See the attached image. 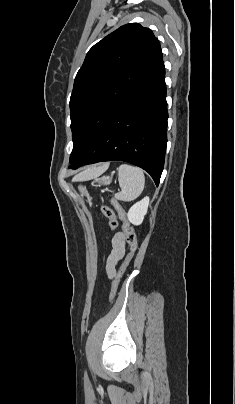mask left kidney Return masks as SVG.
<instances>
[{
  "label": "left kidney",
  "mask_w": 235,
  "mask_h": 404,
  "mask_svg": "<svg viewBox=\"0 0 235 404\" xmlns=\"http://www.w3.org/2000/svg\"><path fill=\"white\" fill-rule=\"evenodd\" d=\"M148 205H149L148 197H145L141 201L135 203L127 213L128 220L133 225H140L143 222L144 216L147 213Z\"/></svg>",
  "instance_id": "1"
}]
</instances>
